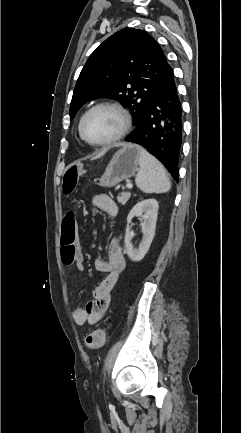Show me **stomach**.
<instances>
[{"instance_id": "0dacf381", "label": "stomach", "mask_w": 241, "mask_h": 433, "mask_svg": "<svg viewBox=\"0 0 241 433\" xmlns=\"http://www.w3.org/2000/svg\"><path fill=\"white\" fill-rule=\"evenodd\" d=\"M140 149L135 144L122 146L107 165L105 172L99 179V185L114 187L121 181L132 177L138 170Z\"/></svg>"}]
</instances>
